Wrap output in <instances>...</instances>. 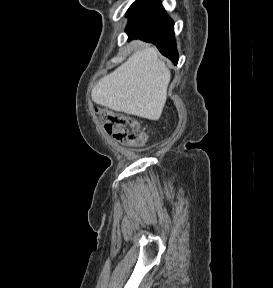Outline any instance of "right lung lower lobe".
Here are the masks:
<instances>
[{
    "label": "right lung lower lobe",
    "instance_id": "obj_1",
    "mask_svg": "<svg viewBox=\"0 0 273 288\" xmlns=\"http://www.w3.org/2000/svg\"><path fill=\"white\" fill-rule=\"evenodd\" d=\"M128 17L126 32L129 39L153 43L164 56L177 64L174 23L159 0H139Z\"/></svg>",
    "mask_w": 273,
    "mask_h": 288
}]
</instances>
